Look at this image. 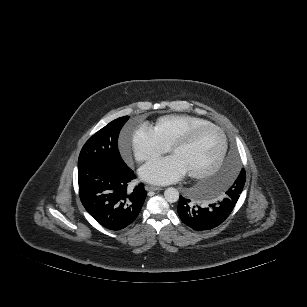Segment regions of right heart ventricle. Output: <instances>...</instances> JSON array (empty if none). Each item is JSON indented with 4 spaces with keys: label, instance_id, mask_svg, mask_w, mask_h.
<instances>
[{
    "label": "right heart ventricle",
    "instance_id": "obj_1",
    "mask_svg": "<svg viewBox=\"0 0 307 307\" xmlns=\"http://www.w3.org/2000/svg\"><path fill=\"white\" fill-rule=\"evenodd\" d=\"M209 123L208 120L187 114H171L160 117L152 128L165 145L170 144L186 133L191 127Z\"/></svg>",
    "mask_w": 307,
    "mask_h": 307
}]
</instances>
